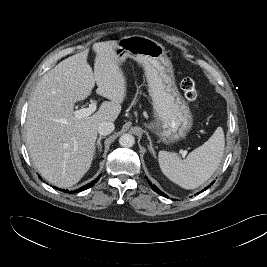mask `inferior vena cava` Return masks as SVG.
<instances>
[{"label": "inferior vena cava", "mask_w": 267, "mask_h": 267, "mask_svg": "<svg viewBox=\"0 0 267 267\" xmlns=\"http://www.w3.org/2000/svg\"><path fill=\"white\" fill-rule=\"evenodd\" d=\"M114 124L111 121H104L98 127V133L100 135H109L114 131Z\"/></svg>", "instance_id": "inferior-vena-cava-1"}]
</instances>
